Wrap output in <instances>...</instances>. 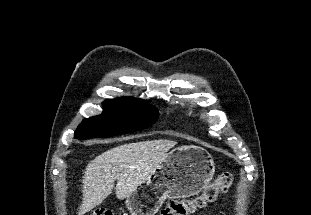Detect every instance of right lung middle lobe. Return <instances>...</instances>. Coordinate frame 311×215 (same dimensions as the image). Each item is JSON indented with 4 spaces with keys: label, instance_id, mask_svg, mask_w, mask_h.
I'll use <instances>...</instances> for the list:
<instances>
[{
    "label": "right lung middle lobe",
    "instance_id": "right-lung-middle-lobe-1",
    "mask_svg": "<svg viewBox=\"0 0 311 215\" xmlns=\"http://www.w3.org/2000/svg\"><path fill=\"white\" fill-rule=\"evenodd\" d=\"M101 115L82 121L75 131L76 139L108 137L142 130L158 119V110L149 103H136L116 99L103 102Z\"/></svg>",
    "mask_w": 311,
    "mask_h": 215
}]
</instances>
